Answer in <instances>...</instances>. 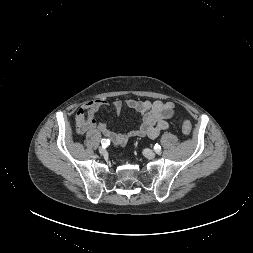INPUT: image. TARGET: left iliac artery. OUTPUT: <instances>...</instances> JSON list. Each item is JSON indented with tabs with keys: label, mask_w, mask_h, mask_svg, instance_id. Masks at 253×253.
Masks as SVG:
<instances>
[{
	"label": "left iliac artery",
	"mask_w": 253,
	"mask_h": 253,
	"mask_svg": "<svg viewBox=\"0 0 253 253\" xmlns=\"http://www.w3.org/2000/svg\"><path fill=\"white\" fill-rule=\"evenodd\" d=\"M154 150H155L157 153H159V152L161 151V146L158 145V144H156V145L154 146Z\"/></svg>",
	"instance_id": "left-iliac-artery-1"
}]
</instances>
